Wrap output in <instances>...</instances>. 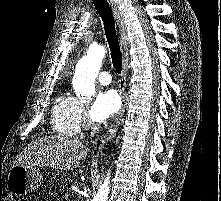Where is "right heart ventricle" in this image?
I'll list each match as a JSON object with an SVG mask.
<instances>
[{"mask_svg":"<svg viewBox=\"0 0 221 201\" xmlns=\"http://www.w3.org/2000/svg\"><path fill=\"white\" fill-rule=\"evenodd\" d=\"M81 104L67 94H60L52 108L51 125L60 135L73 136L81 125Z\"/></svg>","mask_w":221,"mask_h":201,"instance_id":"right-heart-ventricle-1","label":"right heart ventricle"}]
</instances>
